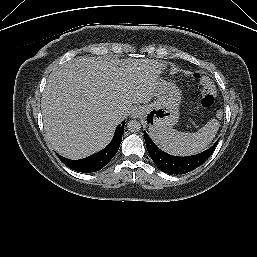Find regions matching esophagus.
<instances>
[{"label":"esophagus","instance_id":"34e87169","mask_svg":"<svg viewBox=\"0 0 257 257\" xmlns=\"http://www.w3.org/2000/svg\"><path fill=\"white\" fill-rule=\"evenodd\" d=\"M133 116H137L139 114V111L138 109H134L133 112H132Z\"/></svg>","mask_w":257,"mask_h":257}]
</instances>
